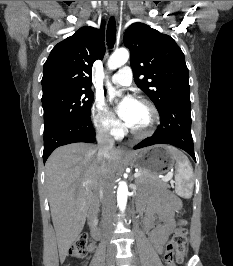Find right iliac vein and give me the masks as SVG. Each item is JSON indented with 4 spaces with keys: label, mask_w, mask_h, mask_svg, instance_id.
<instances>
[{
    "label": "right iliac vein",
    "mask_w": 233,
    "mask_h": 266,
    "mask_svg": "<svg viewBox=\"0 0 233 266\" xmlns=\"http://www.w3.org/2000/svg\"><path fill=\"white\" fill-rule=\"evenodd\" d=\"M113 260H114V253L111 251L108 254V263H109V266H111L110 264H112Z\"/></svg>",
    "instance_id": "1"
}]
</instances>
